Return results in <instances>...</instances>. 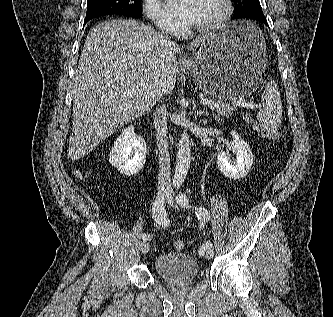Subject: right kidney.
<instances>
[{"label": "right kidney", "instance_id": "obj_1", "mask_svg": "<svg viewBox=\"0 0 333 317\" xmlns=\"http://www.w3.org/2000/svg\"><path fill=\"white\" fill-rule=\"evenodd\" d=\"M147 145L135 134L132 126L126 128L114 142L109 154L110 164L126 176L137 174L145 164Z\"/></svg>", "mask_w": 333, "mask_h": 317}]
</instances>
